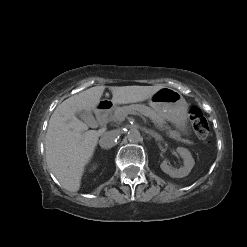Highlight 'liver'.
I'll return each mask as SVG.
<instances>
[{
  "label": "liver",
  "mask_w": 247,
  "mask_h": 247,
  "mask_svg": "<svg viewBox=\"0 0 247 247\" xmlns=\"http://www.w3.org/2000/svg\"><path fill=\"white\" fill-rule=\"evenodd\" d=\"M163 85L111 86L113 104H129L149 99ZM105 86H95L71 96L53 112L45 140L48 167L64 189L77 192L85 166L91 160L100 133L76 117L78 111H96Z\"/></svg>",
  "instance_id": "6515ba94"
}]
</instances>
